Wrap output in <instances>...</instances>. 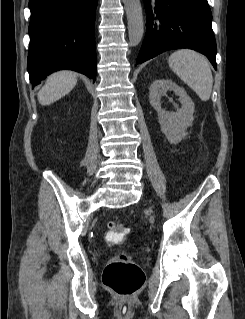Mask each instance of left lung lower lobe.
<instances>
[{
    "label": "left lung lower lobe",
    "instance_id": "1",
    "mask_svg": "<svg viewBox=\"0 0 245 319\" xmlns=\"http://www.w3.org/2000/svg\"><path fill=\"white\" fill-rule=\"evenodd\" d=\"M146 34L136 64L177 48L194 49L216 67V41L207 0H143Z\"/></svg>",
    "mask_w": 245,
    "mask_h": 319
}]
</instances>
